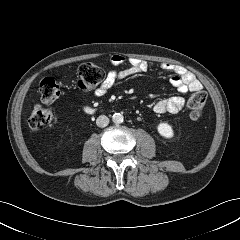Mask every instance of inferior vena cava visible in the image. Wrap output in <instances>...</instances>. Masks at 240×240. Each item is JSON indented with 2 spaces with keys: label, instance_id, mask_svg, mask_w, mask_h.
<instances>
[{
  "label": "inferior vena cava",
  "instance_id": "1",
  "mask_svg": "<svg viewBox=\"0 0 240 240\" xmlns=\"http://www.w3.org/2000/svg\"><path fill=\"white\" fill-rule=\"evenodd\" d=\"M96 124L101 128L106 127L109 124V118L105 115H100L96 120Z\"/></svg>",
  "mask_w": 240,
  "mask_h": 240
}]
</instances>
